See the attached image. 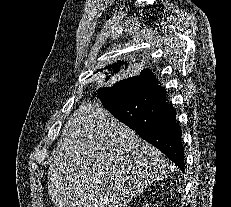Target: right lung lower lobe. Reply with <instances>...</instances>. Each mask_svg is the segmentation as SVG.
I'll use <instances>...</instances> for the list:
<instances>
[{
	"mask_svg": "<svg viewBox=\"0 0 231 207\" xmlns=\"http://www.w3.org/2000/svg\"><path fill=\"white\" fill-rule=\"evenodd\" d=\"M165 94L153 72L144 69L139 76L126 79L117 89L98 97L114 117L157 147L184 172L182 131Z\"/></svg>",
	"mask_w": 231,
	"mask_h": 207,
	"instance_id": "98d812e1",
	"label": "right lung lower lobe"
}]
</instances>
